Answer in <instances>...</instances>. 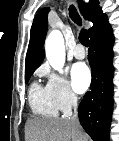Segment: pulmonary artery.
<instances>
[{"label": "pulmonary artery", "instance_id": "pulmonary-artery-1", "mask_svg": "<svg viewBox=\"0 0 119 141\" xmlns=\"http://www.w3.org/2000/svg\"><path fill=\"white\" fill-rule=\"evenodd\" d=\"M73 56L76 59H84L86 56V52L84 47L81 44H77L74 48H73Z\"/></svg>", "mask_w": 119, "mask_h": 141}]
</instances>
